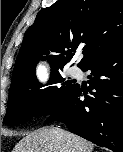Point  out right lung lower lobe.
Returning <instances> with one entry per match:
<instances>
[{
	"instance_id": "1",
	"label": "right lung lower lobe",
	"mask_w": 123,
	"mask_h": 152,
	"mask_svg": "<svg viewBox=\"0 0 123 152\" xmlns=\"http://www.w3.org/2000/svg\"><path fill=\"white\" fill-rule=\"evenodd\" d=\"M82 70L91 71L90 95L77 85L65 105L45 124L64 122L70 132L123 152V39L99 52Z\"/></svg>"
}]
</instances>
